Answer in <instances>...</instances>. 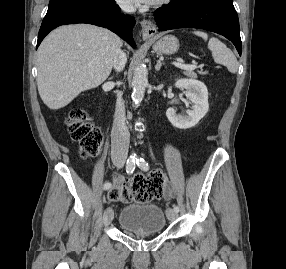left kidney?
I'll list each match as a JSON object with an SVG mask.
<instances>
[{"mask_svg": "<svg viewBox=\"0 0 286 269\" xmlns=\"http://www.w3.org/2000/svg\"><path fill=\"white\" fill-rule=\"evenodd\" d=\"M177 88L186 89V97L193 103L192 110H187L184 115H177L173 108H168L166 116L170 123L179 129H188L195 126L208 112V90L206 85L196 79H179Z\"/></svg>", "mask_w": 286, "mask_h": 269, "instance_id": "1", "label": "left kidney"}]
</instances>
